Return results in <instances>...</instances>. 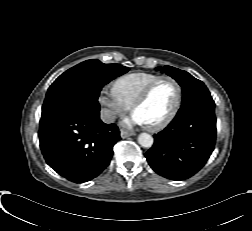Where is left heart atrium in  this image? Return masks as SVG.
<instances>
[{"label": "left heart atrium", "mask_w": 252, "mask_h": 231, "mask_svg": "<svg viewBox=\"0 0 252 231\" xmlns=\"http://www.w3.org/2000/svg\"><path fill=\"white\" fill-rule=\"evenodd\" d=\"M124 124L127 126L138 125L145 126L144 121L136 114H132V116L124 121Z\"/></svg>", "instance_id": "left-heart-atrium-1"}]
</instances>
